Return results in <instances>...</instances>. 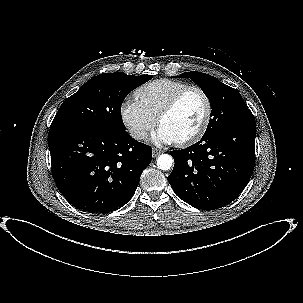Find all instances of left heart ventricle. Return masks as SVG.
<instances>
[{
	"label": "left heart ventricle",
	"instance_id": "b2bd125f",
	"mask_svg": "<svg viewBox=\"0 0 303 303\" xmlns=\"http://www.w3.org/2000/svg\"><path fill=\"white\" fill-rule=\"evenodd\" d=\"M205 114V102L202 96L191 91L181 100L176 109L160 126L168 130L177 141L193 134L200 126Z\"/></svg>",
	"mask_w": 303,
	"mask_h": 303
}]
</instances>
